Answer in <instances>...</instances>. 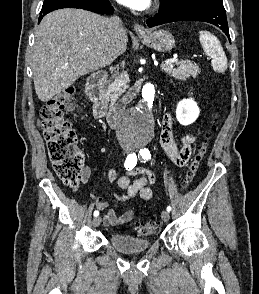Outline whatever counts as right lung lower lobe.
I'll list each match as a JSON object with an SVG mask.
<instances>
[{"label": "right lung lower lobe", "mask_w": 259, "mask_h": 294, "mask_svg": "<svg viewBox=\"0 0 259 294\" xmlns=\"http://www.w3.org/2000/svg\"><path fill=\"white\" fill-rule=\"evenodd\" d=\"M61 8H81L102 14H111L113 11L108 0H90L86 2L60 1L53 4L48 9L41 11L39 21H41L43 16L47 13Z\"/></svg>", "instance_id": "1"}]
</instances>
